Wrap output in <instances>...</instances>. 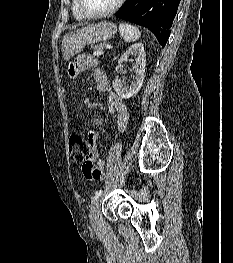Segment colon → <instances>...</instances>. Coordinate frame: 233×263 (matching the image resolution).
I'll return each mask as SVG.
<instances>
[{"label": "colon", "instance_id": "colon-1", "mask_svg": "<svg viewBox=\"0 0 233 263\" xmlns=\"http://www.w3.org/2000/svg\"><path fill=\"white\" fill-rule=\"evenodd\" d=\"M69 153L72 161L82 164L86 178L90 180H101L104 178V168L94 167L89 161L91 153L90 139H86L80 134H73L69 138Z\"/></svg>", "mask_w": 233, "mask_h": 263}]
</instances>
